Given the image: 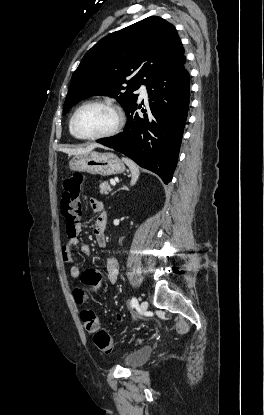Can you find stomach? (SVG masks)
<instances>
[{
	"label": "stomach",
	"instance_id": "stomach-1",
	"mask_svg": "<svg viewBox=\"0 0 264 415\" xmlns=\"http://www.w3.org/2000/svg\"><path fill=\"white\" fill-rule=\"evenodd\" d=\"M69 168L73 171L101 176L120 174L125 171V165L114 153L96 151L74 155L69 162Z\"/></svg>",
	"mask_w": 264,
	"mask_h": 415
}]
</instances>
